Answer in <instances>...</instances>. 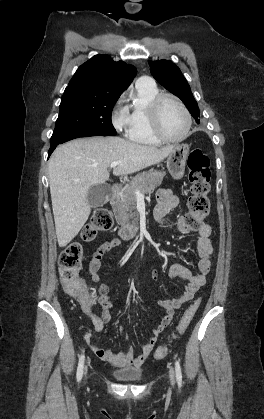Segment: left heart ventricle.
Listing matches in <instances>:
<instances>
[{
    "label": "left heart ventricle",
    "mask_w": 264,
    "mask_h": 419,
    "mask_svg": "<svg viewBox=\"0 0 264 419\" xmlns=\"http://www.w3.org/2000/svg\"><path fill=\"white\" fill-rule=\"evenodd\" d=\"M161 126L169 137H179L186 127V118L180 107L172 100L166 99L160 111Z\"/></svg>",
    "instance_id": "obj_1"
}]
</instances>
